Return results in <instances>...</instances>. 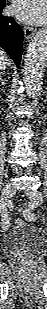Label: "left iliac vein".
Returning <instances> with one entry per match:
<instances>
[{"mask_svg": "<svg viewBox=\"0 0 47 309\" xmlns=\"http://www.w3.org/2000/svg\"><path fill=\"white\" fill-rule=\"evenodd\" d=\"M25 194L30 200L29 208L34 209L43 202L42 194L37 190L26 189Z\"/></svg>", "mask_w": 47, "mask_h": 309, "instance_id": "left-iliac-vein-1", "label": "left iliac vein"}]
</instances>
